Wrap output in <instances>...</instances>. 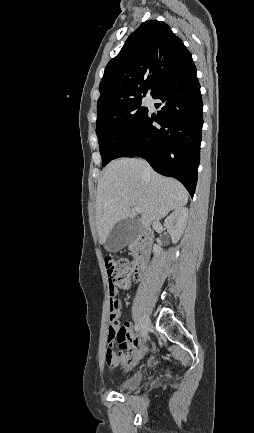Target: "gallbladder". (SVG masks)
<instances>
[{"mask_svg":"<svg viewBox=\"0 0 254 433\" xmlns=\"http://www.w3.org/2000/svg\"><path fill=\"white\" fill-rule=\"evenodd\" d=\"M142 231L141 224L136 219L126 218L118 221L111 229L105 242V249L116 252L133 242Z\"/></svg>","mask_w":254,"mask_h":433,"instance_id":"gallbladder-1","label":"gallbladder"}]
</instances>
